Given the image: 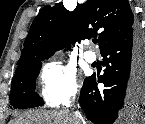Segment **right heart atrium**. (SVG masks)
I'll return each mask as SVG.
<instances>
[{
	"label": "right heart atrium",
	"mask_w": 145,
	"mask_h": 124,
	"mask_svg": "<svg viewBox=\"0 0 145 124\" xmlns=\"http://www.w3.org/2000/svg\"><path fill=\"white\" fill-rule=\"evenodd\" d=\"M40 80L41 95L49 104L63 103L78 91L75 72L58 61H49L43 65Z\"/></svg>",
	"instance_id": "d8ad5b80"
}]
</instances>
